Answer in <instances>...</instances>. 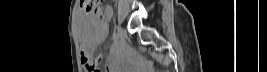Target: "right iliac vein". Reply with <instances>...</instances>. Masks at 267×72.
I'll list each match as a JSON object with an SVG mask.
<instances>
[{
  "instance_id": "obj_1",
  "label": "right iliac vein",
  "mask_w": 267,
  "mask_h": 72,
  "mask_svg": "<svg viewBox=\"0 0 267 72\" xmlns=\"http://www.w3.org/2000/svg\"><path fill=\"white\" fill-rule=\"evenodd\" d=\"M117 34H118L119 38L121 40H123V38H124V32H123V29L121 27H119V26L117 27Z\"/></svg>"
}]
</instances>
